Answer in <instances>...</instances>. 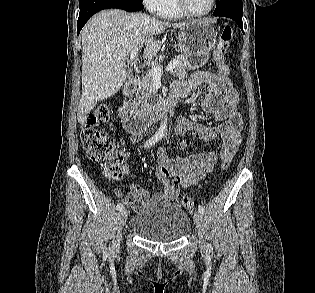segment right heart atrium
Masks as SVG:
<instances>
[{
  "instance_id": "d8ad5b80",
  "label": "right heart atrium",
  "mask_w": 315,
  "mask_h": 293,
  "mask_svg": "<svg viewBox=\"0 0 315 293\" xmlns=\"http://www.w3.org/2000/svg\"><path fill=\"white\" fill-rule=\"evenodd\" d=\"M142 1L148 10L152 12H158L163 0H142Z\"/></svg>"
}]
</instances>
